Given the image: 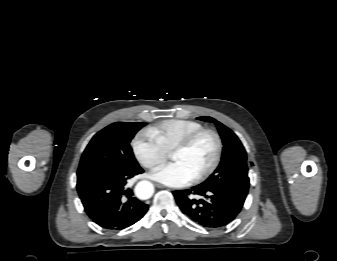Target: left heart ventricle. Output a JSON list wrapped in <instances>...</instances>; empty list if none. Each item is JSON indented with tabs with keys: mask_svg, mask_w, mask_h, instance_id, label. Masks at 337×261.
Segmentation results:
<instances>
[{
	"mask_svg": "<svg viewBox=\"0 0 337 261\" xmlns=\"http://www.w3.org/2000/svg\"><path fill=\"white\" fill-rule=\"evenodd\" d=\"M216 152L213 136H201L189 149L172 155L173 161L182 163L195 177L206 170L212 163Z\"/></svg>",
	"mask_w": 337,
	"mask_h": 261,
	"instance_id": "left-heart-ventricle-1",
	"label": "left heart ventricle"
}]
</instances>
